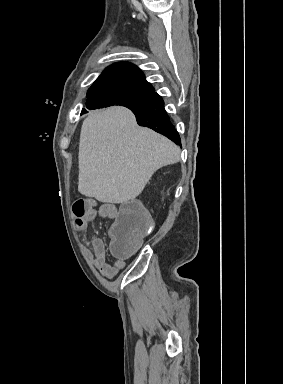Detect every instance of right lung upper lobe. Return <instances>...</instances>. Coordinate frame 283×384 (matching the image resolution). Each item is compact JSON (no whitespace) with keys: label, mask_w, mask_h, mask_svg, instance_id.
I'll return each mask as SVG.
<instances>
[{"label":"right lung upper lobe","mask_w":283,"mask_h":384,"mask_svg":"<svg viewBox=\"0 0 283 384\" xmlns=\"http://www.w3.org/2000/svg\"><path fill=\"white\" fill-rule=\"evenodd\" d=\"M103 85L124 86L154 91L151 84L146 81L141 70L127 62H119L107 67L96 79L93 86Z\"/></svg>","instance_id":"cb5924a9"}]
</instances>
